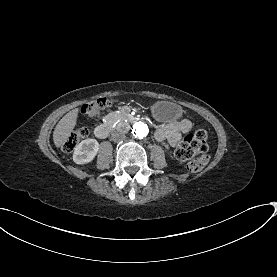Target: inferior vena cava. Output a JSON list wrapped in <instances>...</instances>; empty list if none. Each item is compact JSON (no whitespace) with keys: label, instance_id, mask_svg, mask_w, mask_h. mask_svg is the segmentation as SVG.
I'll return each mask as SVG.
<instances>
[{"label":"inferior vena cava","instance_id":"602c4592","mask_svg":"<svg viewBox=\"0 0 277 277\" xmlns=\"http://www.w3.org/2000/svg\"><path fill=\"white\" fill-rule=\"evenodd\" d=\"M111 139L114 142H120V141L125 140V135L122 134V133H119V132H113L112 135H111Z\"/></svg>","mask_w":277,"mask_h":277}]
</instances>
